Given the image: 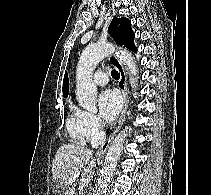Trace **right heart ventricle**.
Instances as JSON below:
<instances>
[{
    "mask_svg": "<svg viewBox=\"0 0 211 195\" xmlns=\"http://www.w3.org/2000/svg\"><path fill=\"white\" fill-rule=\"evenodd\" d=\"M67 130L74 142L78 144H84L87 142L88 139L83 130L80 110L76 108L71 109V113L67 121Z\"/></svg>",
    "mask_w": 211,
    "mask_h": 195,
    "instance_id": "right-heart-ventricle-1",
    "label": "right heart ventricle"
}]
</instances>
